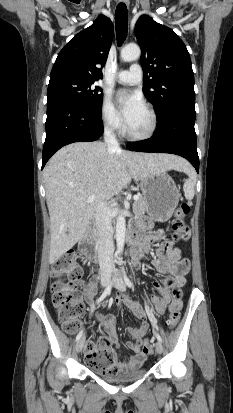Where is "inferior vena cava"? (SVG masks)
<instances>
[{
	"instance_id": "inferior-vena-cava-1",
	"label": "inferior vena cava",
	"mask_w": 233,
	"mask_h": 413,
	"mask_svg": "<svg viewBox=\"0 0 233 413\" xmlns=\"http://www.w3.org/2000/svg\"><path fill=\"white\" fill-rule=\"evenodd\" d=\"M104 141L109 149L120 150L119 143L113 133V129L106 126ZM95 225L99 237L98 259L102 274H109L114 268V249L112 238V216L107 202H100L95 210Z\"/></svg>"
}]
</instances>
